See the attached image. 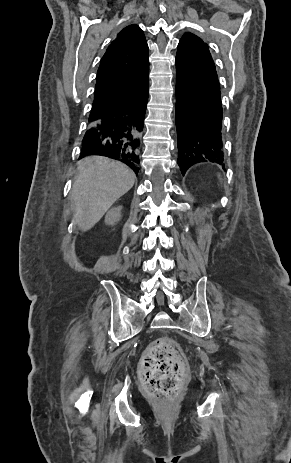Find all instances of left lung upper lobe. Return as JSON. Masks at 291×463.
Listing matches in <instances>:
<instances>
[{
  "label": "left lung upper lobe",
  "instance_id": "5c2ea615",
  "mask_svg": "<svg viewBox=\"0 0 291 463\" xmlns=\"http://www.w3.org/2000/svg\"><path fill=\"white\" fill-rule=\"evenodd\" d=\"M176 71L220 88L208 45L192 33H185L178 44Z\"/></svg>",
  "mask_w": 291,
  "mask_h": 463
}]
</instances>
